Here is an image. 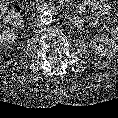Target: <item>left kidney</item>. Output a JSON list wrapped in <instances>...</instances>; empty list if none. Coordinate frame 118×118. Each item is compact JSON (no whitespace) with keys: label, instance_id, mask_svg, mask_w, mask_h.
Returning <instances> with one entry per match:
<instances>
[{"label":"left kidney","instance_id":"5707ae66","mask_svg":"<svg viewBox=\"0 0 118 118\" xmlns=\"http://www.w3.org/2000/svg\"><path fill=\"white\" fill-rule=\"evenodd\" d=\"M91 48L98 56L110 59L118 52V45L115 40L102 33L93 36Z\"/></svg>","mask_w":118,"mask_h":118}]
</instances>
